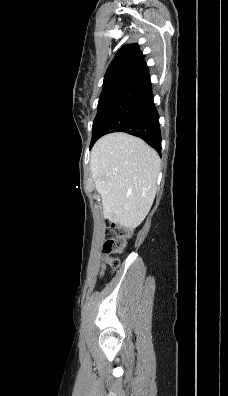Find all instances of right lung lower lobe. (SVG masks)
Masks as SVG:
<instances>
[{
    "mask_svg": "<svg viewBox=\"0 0 228 396\" xmlns=\"http://www.w3.org/2000/svg\"><path fill=\"white\" fill-rule=\"evenodd\" d=\"M126 132L142 138L161 154V131L149 72L126 86L98 119L90 149L104 134Z\"/></svg>",
    "mask_w": 228,
    "mask_h": 396,
    "instance_id": "98d812e1",
    "label": "right lung lower lobe"
}]
</instances>
